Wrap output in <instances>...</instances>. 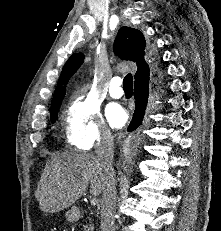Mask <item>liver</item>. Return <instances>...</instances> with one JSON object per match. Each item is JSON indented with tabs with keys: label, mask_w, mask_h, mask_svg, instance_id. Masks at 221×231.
I'll return each instance as SVG.
<instances>
[{
	"label": "liver",
	"mask_w": 221,
	"mask_h": 231,
	"mask_svg": "<svg viewBox=\"0 0 221 231\" xmlns=\"http://www.w3.org/2000/svg\"><path fill=\"white\" fill-rule=\"evenodd\" d=\"M100 195L106 186V172L94 154L62 152L47 162L35 196L41 211L56 213L69 208L87 190Z\"/></svg>",
	"instance_id": "1"
}]
</instances>
